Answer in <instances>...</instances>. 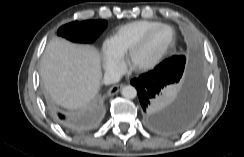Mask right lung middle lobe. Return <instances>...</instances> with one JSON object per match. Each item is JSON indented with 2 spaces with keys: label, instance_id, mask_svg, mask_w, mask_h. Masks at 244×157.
<instances>
[{
  "label": "right lung middle lobe",
  "instance_id": "obj_1",
  "mask_svg": "<svg viewBox=\"0 0 244 157\" xmlns=\"http://www.w3.org/2000/svg\"><path fill=\"white\" fill-rule=\"evenodd\" d=\"M106 26L105 20H87L80 23L75 21L60 27L57 33L74 42L90 43L102 33Z\"/></svg>",
  "mask_w": 244,
  "mask_h": 157
}]
</instances>
